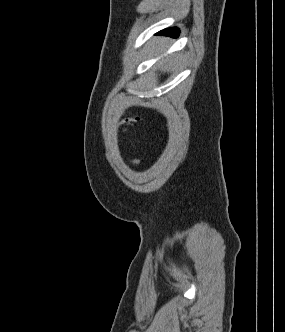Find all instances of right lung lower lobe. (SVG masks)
Listing matches in <instances>:
<instances>
[{"label":"right lung lower lobe","mask_w":285,"mask_h":332,"mask_svg":"<svg viewBox=\"0 0 285 332\" xmlns=\"http://www.w3.org/2000/svg\"><path fill=\"white\" fill-rule=\"evenodd\" d=\"M158 35H165V36H171V37H178L179 35V30L177 28H168L160 31L157 33Z\"/></svg>","instance_id":"1"}]
</instances>
